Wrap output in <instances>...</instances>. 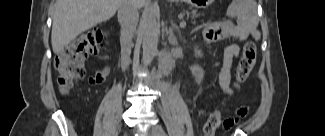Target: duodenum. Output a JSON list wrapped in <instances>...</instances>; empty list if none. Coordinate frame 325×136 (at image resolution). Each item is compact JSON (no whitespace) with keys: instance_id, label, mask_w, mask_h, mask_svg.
<instances>
[{"instance_id":"duodenum-1","label":"duodenum","mask_w":325,"mask_h":136,"mask_svg":"<svg viewBox=\"0 0 325 136\" xmlns=\"http://www.w3.org/2000/svg\"><path fill=\"white\" fill-rule=\"evenodd\" d=\"M125 31L124 30H120V34L124 35Z\"/></svg>"}]
</instances>
